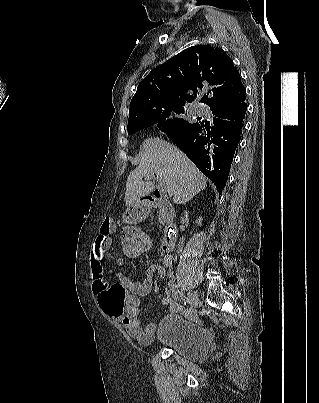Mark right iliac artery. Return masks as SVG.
Instances as JSON below:
<instances>
[{"label":"right iliac artery","instance_id":"82829eb1","mask_svg":"<svg viewBox=\"0 0 319 403\" xmlns=\"http://www.w3.org/2000/svg\"><path fill=\"white\" fill-rule=\"evenodd\" d=\"M170 286L176 298H178L180 302L185 306L187 303L186 297L177 289V287L173 283H171Z\"/></svg>","mask_w":319,"mask_h":403}]
</instances>
